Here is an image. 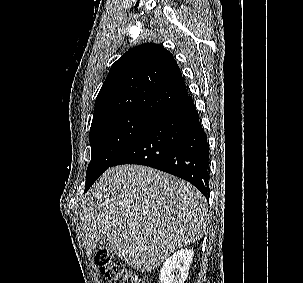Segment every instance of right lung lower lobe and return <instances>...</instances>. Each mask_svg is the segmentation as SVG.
I'll use <instances>...</instances> for the list:
<instances>
[{"label": "right lung lower lobe", "mask_w": 303, "mask_h": 283, "mask_svg": "<svg viewBox=\"0 0 303 283\" xmlns=\"http://www.w3.org/2000/svg\"><path fill=\"white\" fill-rule=\"evenodd\" d=\"M121 164L145 165L185 179L209 200L208 142L192 98L157 114L112 166Z\"/></svg>", "instance_id": "98d812e1"}]
</instances>
